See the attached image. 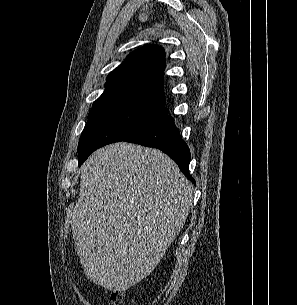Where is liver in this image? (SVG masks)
<instances>
[{
    "instance_id": "obj_1",
    "label": "liver",
    "mask_w": 297,
    "mask_h": 305,
    "mask_svg": "<svg viewBox=\"0 0 297 305\" xmlns=\"http://www.w3.org/2000/svg\"><path fill=\"white\" fill-rule=\"evenodd\" d=\"M193 202L191 183L158 149L119 142L84 163L72 234L86 277L110 291L159 264Z\"/></svg>"
}]
</instances>
